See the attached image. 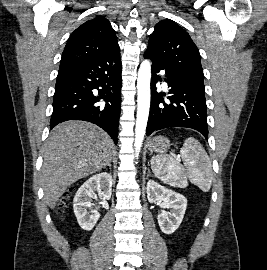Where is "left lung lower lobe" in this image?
Listing matches in <instances>:
<instances>
[{"mask_svg":"<svg viewBox=\"0 0 267 270\" xmlns=\"http://www.w3.org/2000/svg\"><path fill=\"white\" fill-rule=\"evenodd\" d=\"M144 58L152 61L151 105L147 124V136L156 130L172 127L191 128L208 138L207 106L204 89L170 73L153 59L147 51ZM165 72L170 103L163 100L164 93L156 91V84L162 81L159 73Z\"/></svg>","mask_w":267,"mask_h":270,"instance_id":"1","label":"left lung lower lobe"}]
</instances>
